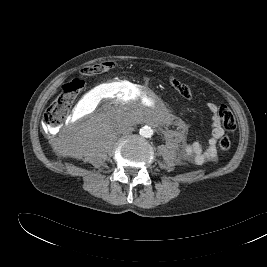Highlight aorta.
Returning a JSON list of instances; mask_svg holds the SVG:
<instances>
[{"label":"aorta","mask_w":267,"mask_h":267,"mask_svg":"<svg viewBox=\"0 0 267 267\" xmlns=\"http://www.w3.org/2000/svg\"><path fill=\"white\" fill-rule=\"evenodd\" d=\"M140 135L145 138H150L153 135V129L149 126H144L140 129Z\"/></svg>","instance_id":"obj_1"}]
</instances>
